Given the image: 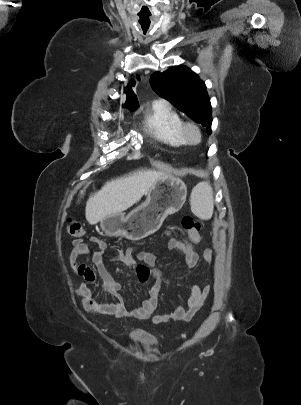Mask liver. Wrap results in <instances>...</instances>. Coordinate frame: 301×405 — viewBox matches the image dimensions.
Returning <instances> with one entry per match:
<instances>
[{
    "instance_id": "6515ba94",
    "label": "liver",
    "mask_w": 301,
    "mask_h": 405,
    "mask_svg": "<svg viewBox=\"0 0 301 405\" xmlns=\"http://www.w3.org/2000/svg\"><path fill=\"white\" fill-rule=\"evenodd\" d=\"M162 177L164 174L160 171L142 169L106 182L87 200L85 208L87 221L95 224L108 216L122 213L137 203ZM84 191L85 189L81 194Z\"/></svg>"
}]
</instances>
